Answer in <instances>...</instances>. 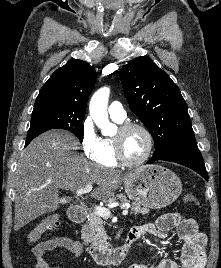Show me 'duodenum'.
I'll use <instances>...</instances> for the list:
<instances>
[{"mask_svg":"<svg viewBox=\"0 0 221 268\" xmlns=\"http://www.w3.org/2000/svg\"><path fill=\"white\" fill-rule=\"evenodd\" d=\"M88 210L85 207L77 206L69 210V218L75 223H81L86 220ZM138 239L137 234L131 229L122 246L116 248H101L97 246H89L81 243L84 251L97 264L101 265H119L129 254L132 245Z\"/></svg>","mask_w":221,"mask_h":268,"instance_id":"duodenum-1","label":"duodenum"}]
</instances>
